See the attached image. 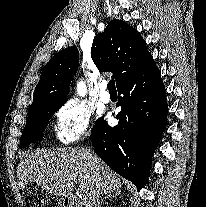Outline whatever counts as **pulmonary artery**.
<instances>
[{"mask_svg":"<svg viewBox=\"0 0 206 207\" xmlns=\"http://www.w3.org/2000/svg\"><path fill=\"white\" fill-rule=\"evenodd\" d=\"M100 100L103 103H109L111 101V96L107 91V82H103L101 85Z\"/></svg>","mask_w":206,"mask_h":207,"instance_id":"pulmonary-artery-1","label":"pulmonary artery"}]
</instances>
